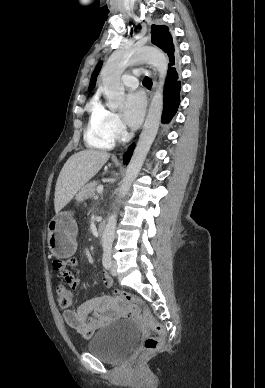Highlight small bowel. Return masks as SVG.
<instances>
[{
  "label": "small bowel",
  "instance_id": "c3829d8e",
  "mask_svg": "<svg viewBox=\"0 0 265 388\" xmlns=\"http://www.w3.org/2000/svg\"><path fill=\"white\" fill-rule=\"evenodd\" d=\"M55 269L60 272L70 289L79 288V268L75 257L57 261ZM102 282L108 287L114 284L113 279L106 272L102 274ZM123 310L120 301L110 296H100L87 300L77 310H66L63 313V319L79 335L90 338L99 328L119 317Z\"/></svg>",
  "mask_w": 265,
  "mask_h": 388
}]
</instances>
